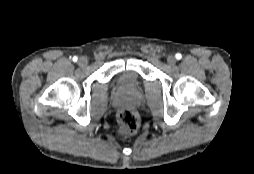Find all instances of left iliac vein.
Instances as JSON below:
<instances>
[{
  "label": "left iliac vein",
  "instance_id": "left-iliac-vein-1",
  "mask_svg": "<svg viewBox=\"0 0 254 174\" xmlns=\"http://www.w3.org/2000/svg\"><path fill=\"white\" fill-rule=\"evenodd\" d=\"M176 58H175V56L174 55H169L168 57H167V62H168V64L169 65H174L175 63H176Z\"/></svg>",
  "mask_w": 254,
  "mask_h": 174
}]
</instances>
